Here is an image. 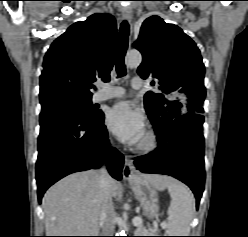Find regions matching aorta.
<instances>
[{"mask_svg": "<svg viewBox=\"0 0 248 237\" xmlns=\"http://www.w3.org/2000/svg\"><path fill=\"white\" fill-rule=\"evenodd\" d=\"M142 62V56L138 51H130L125 57V64L130 68L138 67Z\"/></svg>", "mask_w": 248, "mask_h": 237, "instance_id": "obj_1", "label": "aorta"}]
</instances>
